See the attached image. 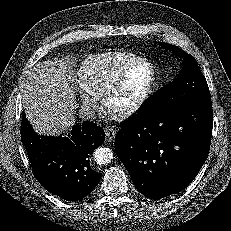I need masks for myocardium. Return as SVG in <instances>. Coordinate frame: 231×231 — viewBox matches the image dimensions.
Returning a JSON list of instances; mask_svg holds the SVG:
<instances>
[{
	"label": "myocardium",
	"instance_id": "myocardium-1",
	"mask_svg": "<svg viewBox=\"0 0 231 231\" xmlns=\"http://www.w3.org/2000/svg\"><path fill=\"white\" fill-rule=\"evenodd\" d=\"M148 65L151 69V79L144 91L129 105L122 108H114L111 104L113 97L123 88L129 75L138 67ZM157 84V70L155 65L145 58H140L126 69H124L114 80L103 90L101 104L104 112L115 119H126L137 113L152 95Z\"/></svg>",
	"mask_w": 231,
	"mask_h": 231
}]
</instances>
